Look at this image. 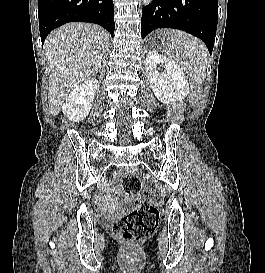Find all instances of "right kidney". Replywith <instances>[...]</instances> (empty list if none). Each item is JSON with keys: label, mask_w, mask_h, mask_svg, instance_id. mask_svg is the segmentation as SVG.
<instances>
[{"label": "right kidney", "mask_w": 265, "mask_h": 273, "mask_svg": "<svg viewBox=\"0 0 265 273\" xmlns=\"http://www.w3.org/2000/svg\"><path fill=\"white\" fill-rule=\"evenodd\" d=\"M98 87V80L95 78L76 86L62 106L63 114L75 122L84 120L92 108Z\"/></svg>", "instance_id": "1"}]
</instances>
